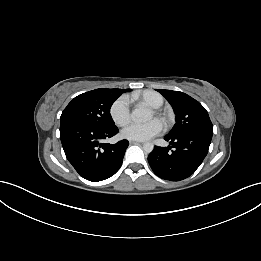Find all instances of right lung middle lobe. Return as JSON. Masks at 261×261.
Listing matches in <instances>:
<instances>
[{"label": "right lung middle lobe", "instance_id": "dd1d6c3e", "mask_svg": "<svg viewBox=\"0 0 261 261\" xmlns=\"http://www.w3.org/2000/svg\"><path fill=\"white\" fill-rule=\"evenodd\" d=\"M129 89H95L75 97L64 109L60 117L61 121H73L110 129L115 127L110 115L113 102Z\"/></svg>", "mask_w": 261, "mask_h": 261}]
</instances>
